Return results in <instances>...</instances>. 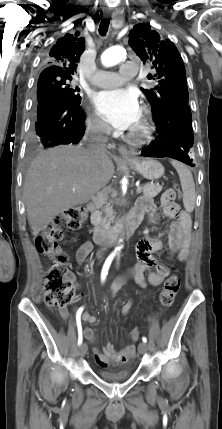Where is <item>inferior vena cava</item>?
Returning a JSON list of instances; mask_svg holds the SVG:
<instances>
[{
    "label": "inferior vena cava",
    "instance_id": "obj_1",
    "mask_svg": "<svg viewBox=\"0 0 222 429\" xmlns=\"http://www.w3.org/2000/svg\"><path fill=\"white\" fill-rule=\"evenodd\" d=\"M111 132L110 125L106 124L101 120H94L89 123L84 141L87 145V149L91 154H101L106 151V142L108 140L107 135ZM106 248L102 247L98 251V256L102 257Z\"/></svg>",
    "mask_w": 222,
    "mask_h": 429
}]
</instances>
